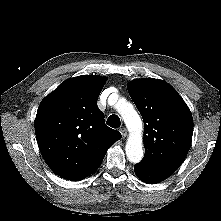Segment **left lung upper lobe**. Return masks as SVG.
I'll use <instances>...</instances> for the list:
<instances>
[{"label":"left lung upper lobe","mask_w":221,"mask_h":221,"mask_svg":"<svg viewBox=\"0 0 221 221\" xmlns=\"http://www.w3.org/2000/svg\"><path fill=\"white\" fill-rule=\"evenodd\" d=\"M128 91L144 121L141 162L174 173L192 141L193 119L187 104L171 85L159 79L134 80Z\"/></svg>","instance_id":"1"}]
</instances>
